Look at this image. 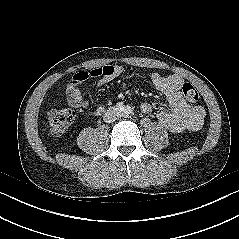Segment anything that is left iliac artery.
<instances>
[{
	"instance_id": "left-iliac-artery-1",
	"label": "left iliac artery",
	"mask_w": 239,
	"mask_h": 239,
	"mask_svg": "<svg viewBox=\"0 0 239 239\" xmlns=\"http://www.w3.org/2000/svg\"><path fill=\"white\" fill-rule=\"evenodd\" d=\"M124 113L127 115V116H130L132 115V110L130 107H126L125 110H124Z\"/></svg>"
}]
</instances>
